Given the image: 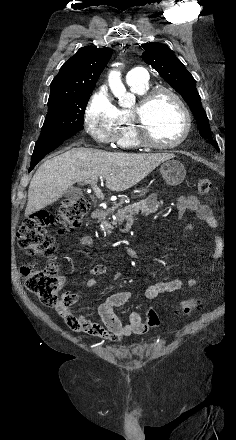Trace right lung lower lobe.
Wrapping results in <instances>:
<instances>
[{
    "instance_id": "obj_1",
    "label": "right lung lower lobe",
    "mask_w": 236,
    "mask_h": 440,
    "mask_svg": "<svg viewBox=\"0 0 236 440\" xmlns=\"http://www.w3.org/2000/svg\"><path fill=\"white\" fill-rule=\"evenodd\" d=\"M70 137H63L51 140L37 141L35 144L34 152L31 159V165L29 172L37 165V163L48 153L60 146L64 140Z\"/></svg>"
}]
</instances>
